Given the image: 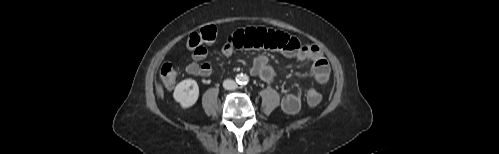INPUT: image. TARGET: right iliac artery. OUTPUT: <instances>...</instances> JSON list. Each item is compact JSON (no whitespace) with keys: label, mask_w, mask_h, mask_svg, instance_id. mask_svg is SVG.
Wrapping results in <instances>:
<instances>
[{"label":"right iliac artery","mask_w":499,"mask_h":154,"mask_svg":"<svg viewBox=\"0 0 499 154\" xmlns=\"http://www.w3.org/2000/svg\"><path fill=\"white\" fill-rule=\"evenodd\" d=\"M241 80H242V75H237V77H236V81H237V82H241Z\"/></svg>","instance_id":"obj_1"}]
</instances>
